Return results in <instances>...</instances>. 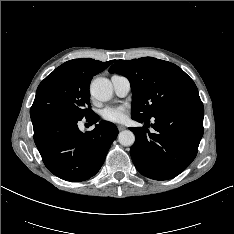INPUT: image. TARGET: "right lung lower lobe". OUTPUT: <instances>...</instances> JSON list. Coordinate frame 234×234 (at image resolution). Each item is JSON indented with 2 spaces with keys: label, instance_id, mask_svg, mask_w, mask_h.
I'll return each mask as SVG.
<instances>
[{
  "label": "right lung lower lobe",
  "instance_id": "right-lung-lower-lobe-1",
  "mask_svg": "<svg viewBox=\"0 0 234 234\" xmlns=\"http://www.w3.org/2000/svg\"><path fill=\"white\" fill-rule=\"evenodd\" d=\"M85 119L92 125L99 116L93 112ZM31 120L34 141L45 166L67 181L79 182L94 176L118 135L117 127L107 121L82 133L77 126L82 118L59 111L36 112L31 114Z\"/></svg>",
  "mask_w": 234,
  "mask_h": 234
}]
</instances>
